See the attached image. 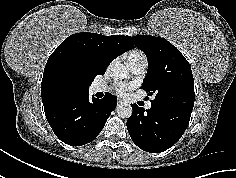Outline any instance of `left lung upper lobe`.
Here are the masks:
<instances>
[{
    "mask_svg": "<svg viewBox=\"0 0 236 178\" xmlns=\"http://www.w3.org/2000/svg\"><path fill=\"white\" fill-rule=\"evenodd\" d=\"M128 39L147 56L148 71L141 88L155 96L151 103L192 111L193 75L182 53L165 38L137 35Z\"/></svg>",
    "mask_w": 236,
    "mask_h": 178,
    "instance_id": "5c2ea615",
    "label": "left lung upper lobe"
}]
</instances>
